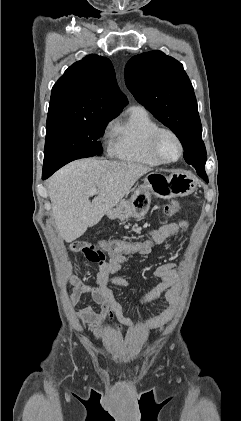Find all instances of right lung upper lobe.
<instances>
[{
  "label": "right lung upper lobe",
  "instance_id": "cb5924a9",
  "mask_svg": "<svg viewBox=\"0 0 241 421\" xmlns=\"http://www.w3.org/2000/svg\"><path fill=\"white\" fill-rule=\"evenodd\" d=\"M126 104L111 61L92 54L70 66L55 83L48 115L117 116Z\"/></svg>",
  "mask_w": 241,
  "mask_h": 421
}]
</instances>
